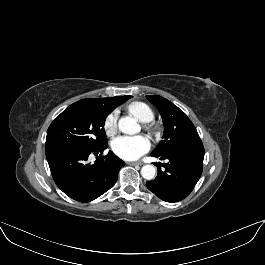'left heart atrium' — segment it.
<instances>
[{
    "mask_svg": "<svg viewBox=\"0 0 265 265\" xmlns=\"http://www.w3.org/2000/svg\"><path fill=\"white\" fill-rule=\"evenodd\" d=\"M150 148L149 140L142 135L120 136L112 142V150L125 160H135Z\"/></svg>",
    "mask_w": 265,
    "mask_h": 265,
    "instance_id": "39dd6f15",
    "label": "left heart atrium"
}]
</instances>
